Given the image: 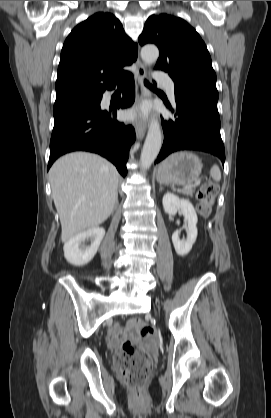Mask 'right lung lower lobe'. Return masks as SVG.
Masks as SVG:
<instances>
[{
	"mask_svg": "<svg viewBox=\"0 0 271 418\" xmlns=\"http://www.w3.org/2000/svg\"><path fill=\"white\" fill-rule=\"evenodd\" d=\"M119 81H122L125 89L117 107H129L135 98L133 76L127 73ZM101 99L102 95L97 103L71 108L54 115L48 170L61 155L82 150L107 158L125 177L128 151L135 140V130L131 125L116 120V109L101 110Z\"/></svg>",
	"mask_w": 271,
	"mask_h": 418,
	"instance_id": "obj_1",
	"label": "right lung lower lobe"
}]
</instances>
